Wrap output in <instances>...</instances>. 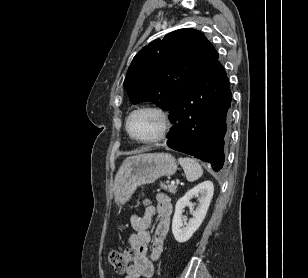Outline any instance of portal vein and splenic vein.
Wrapping results in <instances>:
<instances>
[{"label": "portal vein and splenic vein", "mask_w": 308, "mask_h": 278, "mask_svg": "<svg viewBox=\"0 0 308 278\" xmlns=\"http://www.w3.org/2000/svg\"><path fill=\"white\" fill-rule=\"evenodd\" d=\"M176 184V182L175 181H171V185H175Z\"/></svg>", "instance_id": "1"}]
</instances>
